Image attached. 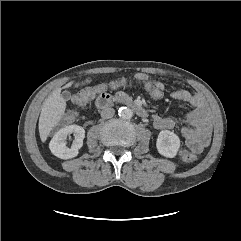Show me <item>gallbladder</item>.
Listing matches in <instances>:
<instances>
[{
	"mask_svg": "<svg viewBox=\"0 0 241 241\" xmlns=\"http://www.w3.org/2000/svg\"><path fill=\"white\" fill-rule=\"evenodd\" d=\"M61 96H62V98L64 99V100H69L70 98H71V93L69 92V91H63L62 92V94H61Z\"/></svg>",
	"mask_w": 241,
	"mask_h": 241,
	"instance_id": "1",
	"label": "gallbladder"
}]
</instances>
